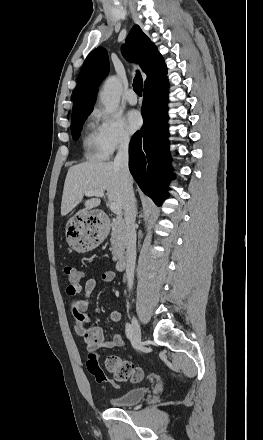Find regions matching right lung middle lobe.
Returning <instances> with one entry per match:
<instances>
[{
	"mask_svg": "<svg viewBox=\"0 0 263 440\" xmlns=\"http://www.w3.org/2000/svg\"><path fill=\"white\" fill-rule=\"evenodd\" d=\"M90 113L91 112L80 114V115L72 117V119H71V131H72V138L74 140H77L79 138L81 130H82V126H83L87 116Z\"/></svg>",
	"mask_w": 263,
	"mask_h": 440,
	"instance_id": "right-lung-middle-lobe-1",
	"label": "right lung middle lobe"
}]
</instances>
